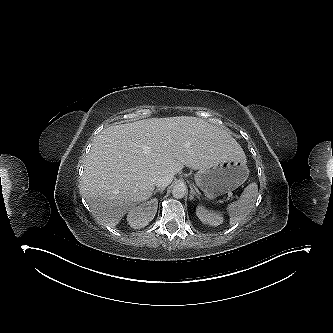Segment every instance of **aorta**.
<instances>
[{"label": "aorta", "instance_id": "1", "mask_svg": "<svg viewBox=\"0 0 333 333\" xmlns=\"http://www.w3.org/2000/svg\"><path fill=\"white\" fill-rule=\"evenodd\" d=\"M186 194V187L183 184H176L172 188V195L174 198H183Z\"/></svg>", "mask_w": 333, "mask_h": 333}]
</instances>
